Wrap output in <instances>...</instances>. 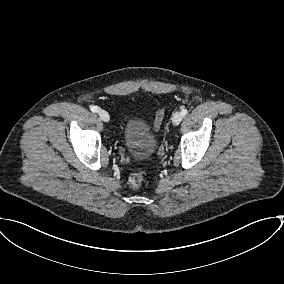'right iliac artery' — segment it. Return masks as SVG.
<instances>
[{"mask_svg":"<svg viewBox=\"0 0 284 284\" xmlns=\"http://www.w3.org/2000/svg\"><path fill=\"white\" fill-rule=\"evenodd\" d=\"M90 109H91V111L94 112V113H95V112H98V110H99V108H98L97 106H91Z\"/></svg>","mask_w":284,"mask_h":284,"instance_id":"1","label":"right iliac artery"}]
</instances>
